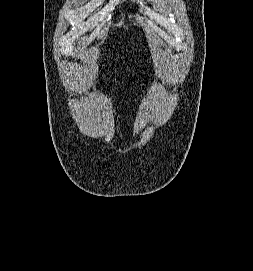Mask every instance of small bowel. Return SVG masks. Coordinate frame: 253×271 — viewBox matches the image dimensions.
<instances>
[{"instance_id": "1", "label": "small bowel", "mask_w": 253, "mask_h": 271, "mask_svg": "<svg viewBox=\"0 0 253 271\" xmlns=\"http://www.w3.org/2000/svg\"><path fill=\"white\" fill-rule=\"evenodd\" d=\"M136 131V127L135 126H129L126 130L127 132V136H132L134 134V132Z\"/></svg>"}]
</instances>
